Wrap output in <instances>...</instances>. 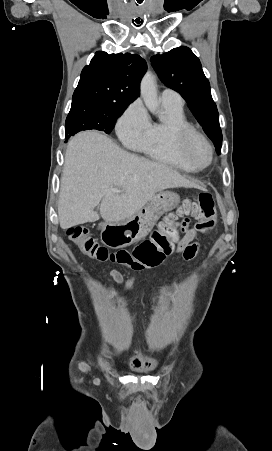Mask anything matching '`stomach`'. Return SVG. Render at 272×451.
Instances as JSON below:
<instances>
[{
	"label": "stomach",
	"mask_w": 272,
	"mask_h": 451,
	"mask_svg": "<svg viewBox=\"0 0 272 451\" xmlns=\"http://www.w3.org/2000/svg\"><path fill=\"white\" fill-rule=\"evenodd\" d=\"M178 204H180V198L175 192H158L146 206L128 220L106 224L101 231V241L113 249L131 245L146 237L152 227L156 226L160 216L171 212L177 208Z\"/></svg>",
	"instance_id": "obj_1"
}]
</instances>
